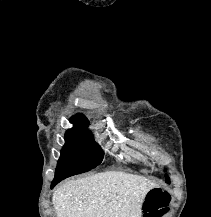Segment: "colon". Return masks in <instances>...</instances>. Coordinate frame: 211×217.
<instances>
[{
    "label": "colon",
    "mask_w": 211,
    "mask_h": 217,
    "mask_svg": "<svg viewBox=\"0 0 211 217\" xmlns=\"http://www.w3.org/2000/svg\"><path fill=\"white\" fill-rule=\"evenodd\" d=\"M170 196L160 189H152L146 198L144 206V217H161L167 212Z\"/></svg>",
    "instance_id": "5ec220e1"
}]
</instances>
